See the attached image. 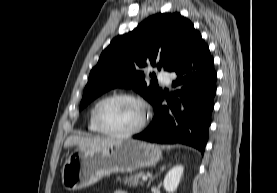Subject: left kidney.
<instances>
[{"instance_id": "left-kidney-1", "label": "left kidney", "mask_w": 277, "mask_h": 193, "mask_svg": "<svg viewBox=\"0 0 277 193\" xmlns=\"http://www.w3.org/2000/svg\"><path fill=\"white\" fill-rule=\"evenodd\" d=\"M184 166L178 164L172 167L164 178V188L168 193H173L177 189L183 174Z\"/></svg>"}]
</instances>
